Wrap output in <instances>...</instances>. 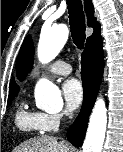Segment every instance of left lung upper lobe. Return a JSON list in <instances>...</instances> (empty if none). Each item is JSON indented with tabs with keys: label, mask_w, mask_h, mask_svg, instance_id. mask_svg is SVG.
<instances>
[{
	"label": "left lung upper lobe",
	"mask_w": 123,
	"mask_h": 152,
	"mask_svg": "<svg viewBox=\"0 0 123 152\" xmlns=\"http://www.w3.org/2000/svg\"><path fill=\"white\" fill-rule=\"evenodd\" d=\"M33 58H34L33 43L31 38L28 36L25 39L20 49L16 61L17 76L20 80H23L24 77L27 75V73L31 70L33 65Z\"/></svg>",
	"instance_id": "5c2ea615"
}]
</instances>
